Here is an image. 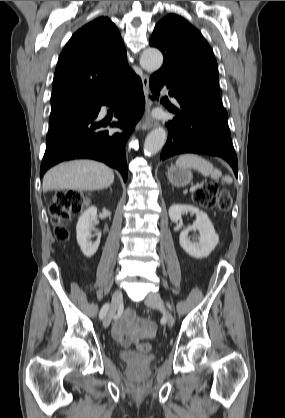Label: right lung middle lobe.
<instances>
[{
	"mask_svg": "<svg viewBox=\"0 0 285 418\" xmlns=\"http://www.w3.org/2000/svg\"><path fill=\"white\" fill-rule=\"evenodd\" d=\"M91 104H73L51 109L49 124L50 127L59 124L69 118L91 111Z\"/></svg>",
	"mask_w": 285,
	"mask_h": 418,
	"instance_id": "obj_1",
	"label": "right lung middle lobe"
}]
</instances>
